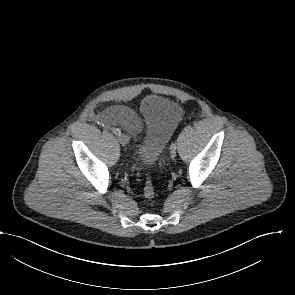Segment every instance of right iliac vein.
<instances>
[{"mask_svg": "<svg viewBox=\"0 0 295 295\" xmlns=\"http://www.w3.org/2000/svg\"><path fill=\"white\" fill-rule=\"evenodd\" d=\"M118 140H119L120 144L123 146L127 145L129 142V139L125 134H120L118 137Z\"/></svg>", "mask_w": 295, "mask_h": 295, "instance_id": "right-iliac-vein-1", "label": "right iliac vein"}]
</instances>
